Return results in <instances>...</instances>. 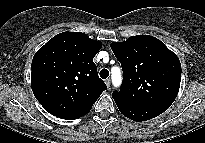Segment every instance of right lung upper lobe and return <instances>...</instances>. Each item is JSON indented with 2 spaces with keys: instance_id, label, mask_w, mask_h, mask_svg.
<instances>
[{
  "instance_id": "right-lung-upper-lobe-1",
  "label": "right lung upper lobe",
  "mask_w": 205,
  "mask_h": 143,
  "mask_svg": "<svg viewBox=\"0 0 205 143\" xmlns=\"http://www.w3.org/2000/svg\"><path fill=\"white\" fill-rule=\"evenodd\" d=\"M102 43L79 32L50 39L33 57L32 91L50 114L75 118L91 109L107 88L99 78L94 56Z\"/></svg>"
}]
</instances>
